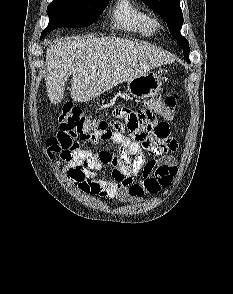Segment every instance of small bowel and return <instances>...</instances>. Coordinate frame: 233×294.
Listing matches in <instances>:
<instances>
[{
	"mask_svg": "<svg viewBox=\"0 0 233 294\" xmlns=\"http://www.w3.org/2000/svg\"><path fill=\"white\" fill-rule=\"evenodd\" d=\"M117 118L110 121L114 129H125V134L112 132L101 140L119 145L118 155L101 149L79 151L72 159L58 161L65 178L84 194L131 203L146 193L156 194L168 187L177 173L176 159L170 155L178 148L170 135V123L161 117V110L153 108H119ZM133 113V114H128ZM53 137L47 140L48 154ZM144 154L154 157L146 160ZM50 157V156H49ZM113 167L112 177L96 179L95 173L104 166ZM141 171L140 179L136 174Z\"/></svg>",
	"mask_w": 233,
	"mask_h": 294,
	"instance_id": "obj_1",
	"label": "small bowel"
}]
</instances>
